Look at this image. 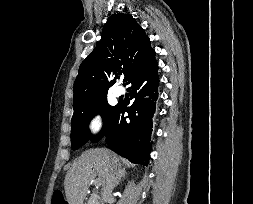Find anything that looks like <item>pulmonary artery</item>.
<instances>
[{"mask_svg":"<svg viewBox=\"0 0 253 204\" xmlns=\"http://www.w3.org/2000/svg\"><path fill=\"white\" fill-rule=\"evenodd\" d=\"M123 94V89L121 87H116L113 91L115 97H119Z\"/></svg>","mask_w":253,"mask_h":204,"instance_id":"e3ab8cb5","label":"pulmonary artery"}]
</instances>
